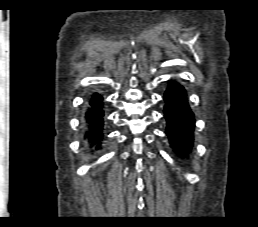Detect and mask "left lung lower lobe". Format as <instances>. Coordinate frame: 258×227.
<instances>
[{"mask_svg": "<svg viewBox=\"0 0 258 227\" xmlns=\"http://www.w3.org/2000/svg\"><path fill=\"white\" fill-rule=\"evenodd\" d=\"M164 116L167 121L166 135L170 146L178 156L188 157L194 142L195 119L191 111L186 90L172 81L164 93Z\"/></svg>", "mask_w": 258, "mask_h": 227, "instance_id": "1", "label": "left lung lower lobe"}]
</instances>
